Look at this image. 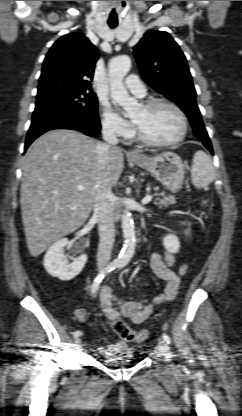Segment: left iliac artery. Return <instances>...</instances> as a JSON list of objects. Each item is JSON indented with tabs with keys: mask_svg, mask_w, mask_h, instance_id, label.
<instances>
[{
	"mask_svg": "<svg viewBox=\"0 0 242 416\" xmlns=\"http://www.w3.org/2000/svg\"><path fill=\"white\" fill-rule=\"evenodd\" d=\"M123 267V265H119V268H122ZM163 339H164V341L166 342V343H168V344H170V342H171V339H170V337L167 335V334H163Z\"/></svg>",
	"mask_w": 242,
	"mask_h": 416,
	"instance_id": "44dca946",
	"label": "left iliac artery"
}]
</instances>
